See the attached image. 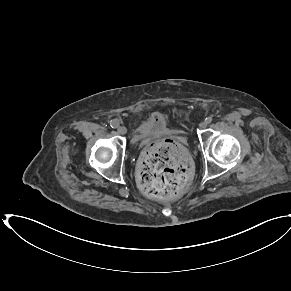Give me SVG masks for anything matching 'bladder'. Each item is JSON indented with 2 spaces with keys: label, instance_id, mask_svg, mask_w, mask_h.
I'll return each mask as SVG.
<instances>
[{
  "label": "bladder",
  "instance_id": "bladder-1",
  "mask_svg": "<svg viewBox=\"0 0 291 291\" xmlns=\"http://www.w3.org/2000/svg\"><path fill=\"white\" fill-rule=\"evenodd\" d=\"M170 130L167 118L163 114H157L143 124L136 127V133L145 137L158 136Z\"/></svg>",
  "mask_w": 291,
  "mask_h": 291
}]
</instances>
